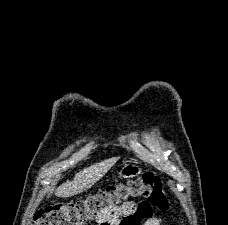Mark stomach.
I'll use <instances>...</instances> for the list:
<instances>
[{
	"label": "stomach",
	"instance_id": "obj_1",
	"mask_svg": "<svg viewBox=\"0 0 228 225\" xmlns=\"http://www.w3.org/2000/svg\"><path fill=\"white\" fill-rule=\"evenodd\" d=\"M142 169L138 167V165H131V163H126L124 167H122L119 177L121 179H132V177H138V175H141Z\"/></svg>",
	"mask_w": 228,
	"mask_h": 225
}]
</instances>
